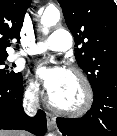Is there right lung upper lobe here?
Segmentation results:
<instances>
[{
    "mask_svg": "<svg viewBox=\"0 0 117 136\" xmlns=\"http://www.w3.org/2000/svg\"><path fill=\"white\" fill-rule=\"evenodd\" d=\"M31 0H0V58L14 38L20 40L24 16Z\"/></svg>",
    "mask_w": 117,
    "mask_h": 136,
    "instance_id": "cb5924a9",
    "label": "right lung upper lobe"
}]
</instances>
